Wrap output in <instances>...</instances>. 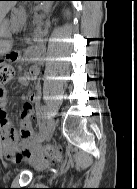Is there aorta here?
<instances>
[{"label":"aorta","mask_w":137,"mask_h":189,"mask_svg":"<svg viewBox=\"0 0 137 189\" xmlns=\"http://www.w3.org/2000/svg\"><path fill=\"white\" fill-rule=\"evenodd\" d=\"M50 1H43L42 4H41V7L44 11H47L50 7Z\"/></svg>","instance_id":"762f6f07"}]
</instances>
